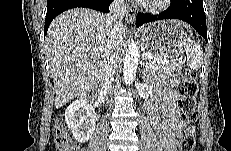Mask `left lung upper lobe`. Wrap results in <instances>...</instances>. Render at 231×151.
Wrapping results in <instances>:
<instances>
[{
	"instance_id": "obj_1",
	"label": "left lung upper lobe",
	"mask_w": 231,
	"mask_h": 151,
	"mask_svg": "<svg viewBox=\"0 0 231 151\" xmlns=\"http://www.w3.org/2000/svg\"><path fill=\"white\" fill-rule=\"evenodd\" d=\"M179 1L180 0H171V2H172L171 7H175V6L179 5Z\"/></svg>"
}]
</instances>
